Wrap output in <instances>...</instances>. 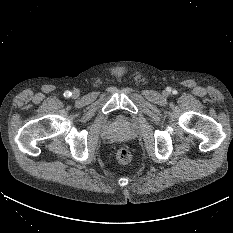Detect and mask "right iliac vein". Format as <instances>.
Segmentation results:
<instances>
[{"label":"right iliac vein","instance_id":"63e3f726","mask_svg":"<svg viewBox=\"0 0 233 233\" xmlns=\"http://www.w3.org/2000/svg\"><path fill=\"white\" fill-rule=\"evenodd\" d=\"M78 95H79V93L77 91H74L72 94L73 97H78Z\"/></svg>","mask_w":233,"mask_h":233}]
</instances>
